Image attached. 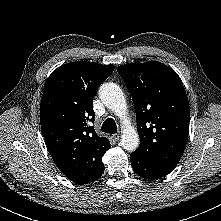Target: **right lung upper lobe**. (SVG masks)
<instances>
[{
	"mask_svg": "<svg viewBox=\"0 0 221 221\" xmlns=\"http://www.w3.org/2000/svg\"><path fill=\"white\" fill-rule=\"evenodd\" d=\"M113 70V65L71 62L51 73L43 89L40 123L47 148L57 167L77 184L104 172L102 157L110 143L90 122L95 121L93 97Z\"/></svg>",
	"mask_w": 221,
	"mask_h": 221,
	"instance_id": "1",
	"label": "right lung upper lobe"
}]
</instances>
